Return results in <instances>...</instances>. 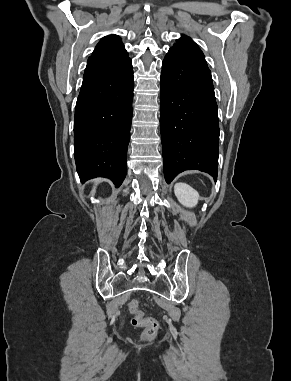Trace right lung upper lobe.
Masks as SVG:
<instances>
[{
    "label": "right lung upper lobe",
    "instance_id": "obj_1",
    "mask_svg": "<svg viewBox=\"0 0 291 381\" xmlns=\"http://www.w3.org/2000/svg\"><path fill=\"white\" fill-rule=\"evenodd\" d=\"M124 50V45L121 39L117 35H108L102 38L96 45L94 53L109 52V51H122Z\"/></svg>",
    "mask_w": 291,
    "mask_h": 381
}]
</instances>
